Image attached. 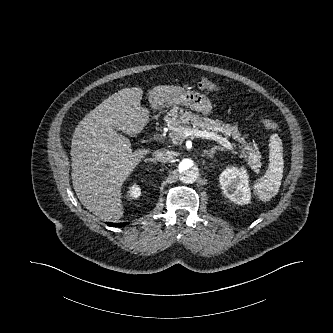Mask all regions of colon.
I'll return each instance as SVG.
<instances>
[{
  "label": "colon",
  "instance_id": "colon-1",
  "mask_svg": "<svg viewBox=\"0 0 333 333\" xmlns=\"http://www.w3.org/2000/svg\"><path fill=\"white\" fill-rule=\"evenodd\" d=\"M197 86L199 89L206 90V91H217L218 90V86L214 82H212L208 79H205V78L201 79L197 83ZM260 123L262 126H264L265 128H267L271 131L279 130L278 124L271 119L262 118V119H260Z\"/></svg>",
  "mask_w": 333,
  "mask_h": 333
}]
</instances>
